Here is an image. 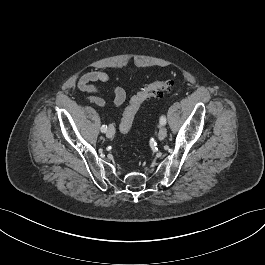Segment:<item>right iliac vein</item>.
I'll return each instance as SVG.
<instances>
[{
  "label": "right iliac vein",
  "instance_id": "right-iliac-vein-1",
  "mask_svg": "<svg viewBox=\"0 0 265 265\" xmlns=\"http://www.w3.org/2000/svg\"><path fill=\"white\" fill-rule=\"evenodd\" d=\"M115 134V129L112 125H110L106 131L107 138H112Z\"/></svg>",
  "mask_w": 265,
  "mask_h": 265
}]
</instances>
